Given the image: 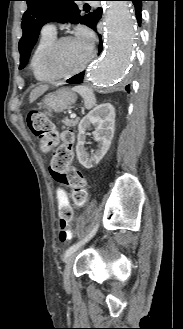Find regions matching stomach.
<instances>
[{
  "label": "stomach",
  "mask_w": 183,
  "mask_h": 329,
  "mask_svg": "<svg viewBox=\"0 0 183 329\" xmlns=\"http://www.w3.org/2000/svg\"><path fill=\"white\" fill-rule=\"evenodd\" d=\"M76 101V95L68 88L58 89L54 93L48 94L43 105L46 109L60 113L66 109H69Z\"/></svg>",
  "instance_id": "1"
}]
</instances>
